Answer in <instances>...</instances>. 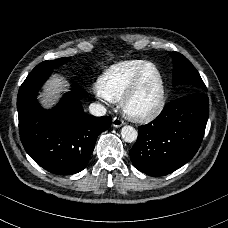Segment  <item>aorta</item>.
Returning <instances> with one entry per match:
<instances>
[{
    "instance_id": "1",
    "label": "aorta",
    "mask_w": 228,
    "mask_h": 228,
    "mask_svg": "<svg viewBox=\"0 0 228 228\" xmlns=\"http://www.w3.org/2000/svg\"><path fill=\"white\" fill-rule=\"evenodd\" d=\"M121 136L126 143H132L137 140L138 133L133 127L125 126L121 131Z\"/></svg>"
}]
</instances>
